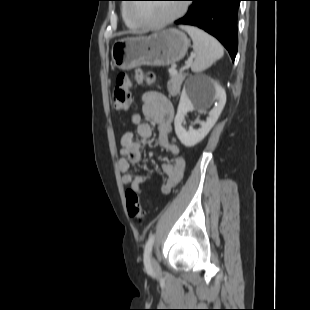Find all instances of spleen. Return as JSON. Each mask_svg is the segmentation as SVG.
<instances>
[{
	"label": "spleen",
	"instance_id": "3e777b00",
	"mask_svg": "<svg viewBox=\"0 0 310 310\" xmlns=\"http://www.w3.org/2000/svg\"><path fill=\"white\" fill-rule=\"evenodd\" d=\"M181 28L190 35L193 41L196 58L190 65L194 72L204 71L223 56V47L214 37L197 27L181 26Z\"/></svg>",
	"mask_w": 310,
	"mask_h": 310
}]
</instances>
